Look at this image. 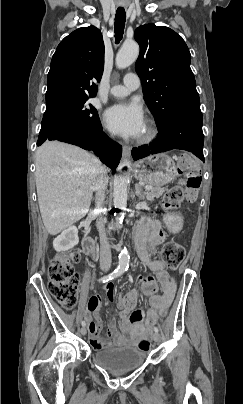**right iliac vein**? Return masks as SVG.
Segmentation results:
<instances>
[{"instance_id": "1", "label": "right iliac vein", "mask_w": 243, "mask_h": 404, "mask_svg": "<svg viewBox=\"0 0 243 404\" xmlns=\"http://www.w3.org/2000/svg\"><path fill=\"white\" fill-rule=\"evenodd\" d=\"M81 334L82 335H85L86 334V332H87V330H86V328L83 326L82 328H81Z\"/></svg>"}]
</instances>
